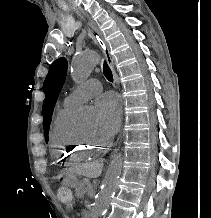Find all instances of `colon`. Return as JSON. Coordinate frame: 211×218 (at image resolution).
Returning a JSON list of instances; mask_svg holds the SVG:
<instances>
[{
	"mask_svg": "<svg viewBox=\"0 0 211 218\" xmlns=\"http://www.w3.org/2000/svg\"><path fill=\"white\" fill-rule=\"evenodd\" d=\"M57 197L61 203L68 204L72 201L73 194L69 187L61 185L57 189Z\"/></svg>",
	"mask_w": 211,
	"mask_h": 218,
	"instance_id": "obj_1",
	"label": "colon"
}]
</instances>
